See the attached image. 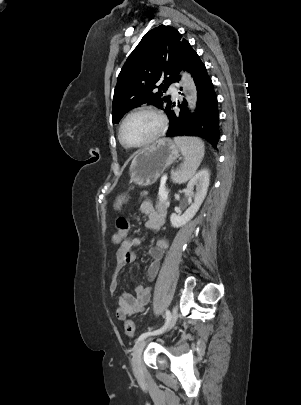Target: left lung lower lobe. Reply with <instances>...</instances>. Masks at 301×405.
I'll list each match as a JSON object with an SVG mask.
<instances>
[{"label": "left lung lower lobe", "mask_w": 301, "mask_h": 405, "mask_svg": "<svg viewBox=\"0 0 301 405\" xmlns=\"http://www.w3.org/2000/svg\"><path fill=\"white\" fill-rule=\"evenodd\" d=\"M186 70L193 76L197 87V108L190 113L185 99L182 107L179 105V113L170 108L167 112L170 124L166 136H197L216 148L220 138L217 96L206 67L196 52L191 55Z\"/></svg>", "instance_id": "1"}]
</instances>
